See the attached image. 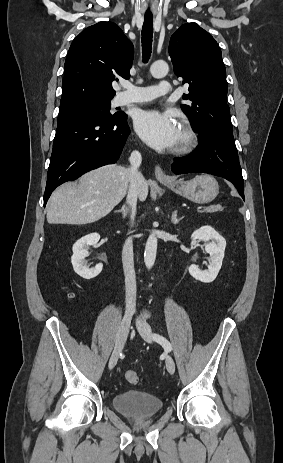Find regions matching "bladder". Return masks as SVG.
<instances>
[{
	"instance_id": "obj_1",
	"label": "bladder",
	"mask_w": 283,
	"mask_h": 463,
	"mask_svg": "<svg viewBox=\"0 0 283 463\" xmlns=\"http://www.w3.org/2000/svg\"><path fill=\"white\" fill-rule=\"evenodd\" d=\"M115 410L125 417L144 419L156 415L162 408V401L153 394L139 390H127L113 397Z\"/></svg>"
}]
</instances>
